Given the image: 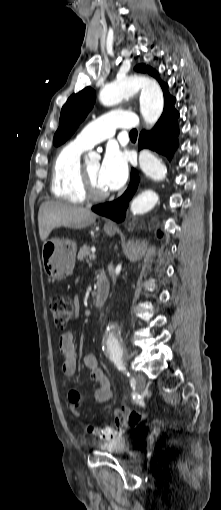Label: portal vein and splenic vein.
<instances>
[{
    "instance_id": "18ae733b",
    "label": "portal vein and splenic vein",
    "mask_w": 221,
    "mask_h": 510,
    "mask_svg": "<svg viewBox=\"0 0 221 510\" xmlns=\"http://www.w3.org/2000/svg\"><path fill=\"white\" fill-rule=\"evenodd\" d=\"M90 260H95L96 259V255L93 253L89 256Z\"/></svg>"
}]
</instances>
